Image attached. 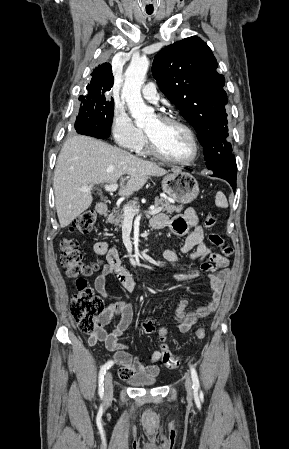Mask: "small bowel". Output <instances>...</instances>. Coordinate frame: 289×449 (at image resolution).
I'll list each match as a JSON object with an SVG mask.
<instances>
[{"mask_svg": "<svg viewBox=\"0 0 289 449\" xmlns=\"http://www.w3.org/2000/svg\"><path fill=\"white\" fill-rule=\"evenodd\" d=\"M151 225L154 229L169 227L171 232L177 236L186 238L182 244L181 251L187 254L190 259L199 261L201 268L209 272L208 279L211 287V297L207 304L194 310L187 311L188 300L181 299L175 310L178 321V330L182 333L188 332L196 322L213 313L219 305L221 293L226 280L230 275L229 260L223 255L212 253L204 239V230L194 209L188 208L184 214L175 216L169 220L165 214H158L153 217ZM96 254L105 256L107 263L102 267L100 273L95 278V290L103 297H107L106 282L107 277L115 275L121 286L127 292H133L136 282L133 275L122 265L119 253L115 248H109L103 241L96 242L93 246ZM163 258L170 263L179 261L178 254L172 249H165L162 252ZM209 259V261H206ZM199 276L198 270L179 272L173 275L178 281H186ZM119 315L120 320L111 332H106L104 326L110 322L113 316ZM133 320L132 305L126 300H117L109 304L101 317L95 332L89 337L88 343L91 346L98 342H103L107 351L113 354V363L121 366L119 375L122 379L128 380L135 374H147L156 376L160 372L156 362L161 360L159 350L151 355L149 363H143L138 357L129 352L126 344L119 341L123 333L128 329Z\"/></svg>", "mask_w": 289, "mask_h": 449, "instance_id": "obj_1", "label": "small bowel"}]
</instances>
